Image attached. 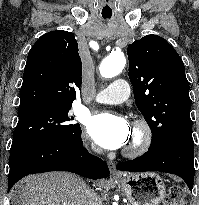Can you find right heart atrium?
I'll return each instance as SVG.
<instances>
[{
  "instance_id": "1",
  "label": "right heart atrium",
  "mask_w": 199,
  "mask_h": 205,
  "mask_svg": "<svg viewBox=\"0 0 199 205\" xmlns=\"http://www.w3.org/2000/svg\"><path fill=\"white\" fill-rule=\"evenodd\" d=\"M92 149H93L94 151H97V148H96L95 146H92Z\"/></svg>"
}]
</instances>
